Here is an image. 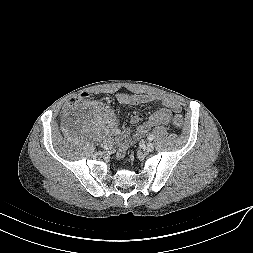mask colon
<instances>
[{
    "mask_svg": "<svg viewBox=\"0 0 253 253\" xmlns=\"http://www.w3.org/2000/svg\"><path fill=\"white\" fill-rule=\"evenodd\" d=\"M87 100H88V95L86 93L76 94L74 97L70 98L66 102V105H63L61 107V112L63 114H68V113L70 114L75 107H77L81 103L86 102ZM172 123L177 129H181L184 124L183 117L178 114L175 115L172 119Z\"/></svg>",
    "mask_w": 253,
    "mask_h": 253,
    "instance_id": "1",
    "label": "colon"
}]
</instances>
